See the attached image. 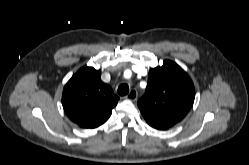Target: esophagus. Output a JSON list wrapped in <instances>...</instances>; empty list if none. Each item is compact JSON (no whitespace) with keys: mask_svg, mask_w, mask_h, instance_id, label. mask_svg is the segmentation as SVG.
I'll use <instances>...</instances> for the list:
<instances>
[{"mask_svg":"<svg viewBox=\"0 0 249 165\" xmlns=\"http://www.w3.org/2000/svg\"><path fill=\"white\" fill-rule=\"evenodd\" d=\"M138 97V93L136 90H131L128 95L126 96L127 99L131 100V101H135Z\"/></svg>","mask_w":249,"mask_h":165,"instance_id":"34e87169","label":"esophagus"}]
</instances>
